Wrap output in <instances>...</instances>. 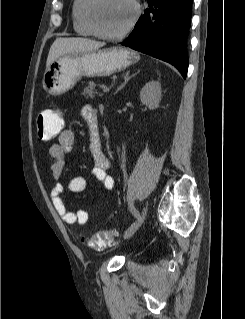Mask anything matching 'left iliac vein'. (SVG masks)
Listing matches in <instances>:
<instances>
[{
  "label": "left iliac vein",
  "instance_id": "left-iliac-vein-1",
  "mask_svg": "<svg viewBox=\"0 0 245 319\" xmlns=\"http://www.w3.org/2000/svg\"><path fill=\"white\" fill-rule=\"evenodd\" d=\"M146 217H147V209L143 208L136 222L129 229L126 230L124 237L125 238L131 237L136 232V230H138V228L144 223Z\"/></svg>",
  "mask_w": 245,
  "mask_h": 319
}]
</instances>
